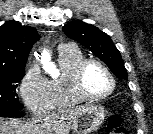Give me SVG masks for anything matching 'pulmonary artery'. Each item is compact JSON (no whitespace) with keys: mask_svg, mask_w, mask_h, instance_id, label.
<instances>
[{"mask_svg":"<svg viewBox=\"0 0 153 134\" xmlns=\"http://www.w3.org/2000/svg\"><path fill=\"white\" fill-rule=\"evenodd\" d=\"M69 47H73L71 44H63L60 46V50L62 49H66V48H69Z\"/></svg>","mask_w":153,"mask_h":134,"instance_id":"obj_1","label":"pulmonary artery"}]
</instances>
